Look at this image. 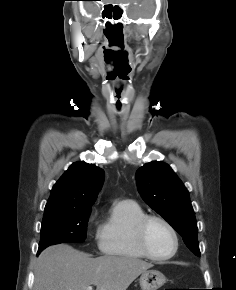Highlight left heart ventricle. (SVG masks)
<instances>
[{
    "label": "left heart ventricle",
    "instance_id": "obj_1",
    "mask_svg": "<svg viewBox=\"0 0 236 290\" xmlns=\"http://www.w3.org/2000/svg\"><path fill=\"white\" fill-rule=\"evenodd\" d=\"M147 243L152 253L166 256L174 248V240L170 231L160 222H151L147 229Z\"/></svg>",
    "mask_w": 236,
    "mask_h": 290
}]
</instances>
